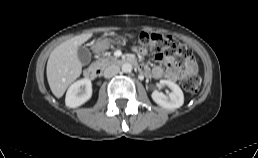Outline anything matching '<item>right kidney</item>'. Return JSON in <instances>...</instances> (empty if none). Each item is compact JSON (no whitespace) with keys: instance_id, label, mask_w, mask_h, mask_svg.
<instances>
[{"instance_id":"ca27d5eb","label":"right kidney","mask_w":258,"mask_h":158,"mask_svg":"<svg viewBox=\"0 0 258 158\" xmlns=\"http://www.w3.org/2000/svg\"><path fill=\"white\" fill-rule=\"evenodd\" d=\"M92 96V83L89 79L74 82L67 90L65 103L67 107L75 108L87 102Z\"/></svg>"}]
</instances>
